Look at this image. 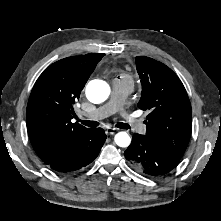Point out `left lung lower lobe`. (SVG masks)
Masks as SVG:
<instances>
[{
    "instance_id": "0a47b994",
    "label": "left lung lower lobe",
    "mask_w": 221,
    "mask_h": 221,
    "mask_svg": "<svg viewBox=\"0 0 221 221\" xmlns=\"http://www.w3.org/2000/svg\"><path fill=\"white\" fill-rule=\"evenodd\" d=\"M124 155L135 169L152 177L167 174L181 159L140 134L133 135Z\"/></svg>"
}]
</instances>
